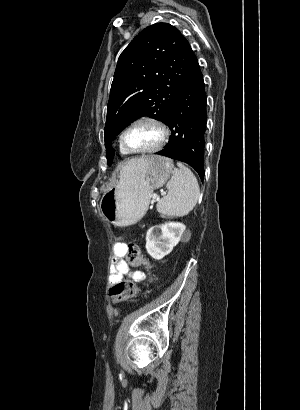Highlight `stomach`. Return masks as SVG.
<instances>
[{"label":"stomach","instance_id":"0dacf381","mask_svg":"<svg viewBox=\"0 0 300 410\" xmlns=\"http://www.w3.org/2000/svg\"><path fill=\"white\" fill-rule=\"evenodd\" d=\"M172 169L170 159L155 155L147 156L141 165L123 166L119 182L101 198V213L115 226L136 224L146 214L153 191L167 182Z\"/></svg>","mask_w":300,"mask_h":410}]
</instances>
